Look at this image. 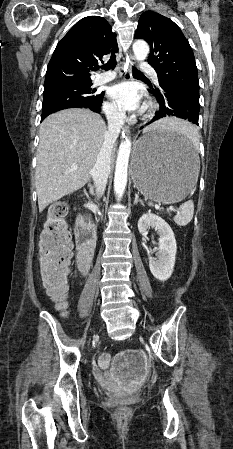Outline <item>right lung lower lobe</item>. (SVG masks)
Instances as JSON below:
<instances>
[{"instance_id": "1", "label": "right lung lower lobe", "mask_w": 233, "mask_h": 449, "mask_svg": "<svg viewBox=\"0 0 233 449\" xmlns=\"http://www.w3.org/2000/svg\"><path fill=\"white\" fill-rule=\"evenodd\" d=\"M102 101H103V96H102V98L97 102V104H95L93 107H87V106H84V105H74V106H70V107H68V108H88V109H90V110H92V111H94V112H100V106H101V104H102ZM66 109V108H65ZM49 114H51V113H49ZM49 114H43L42 116H41V121H43Z\"/></svg>"}]
</instances>
